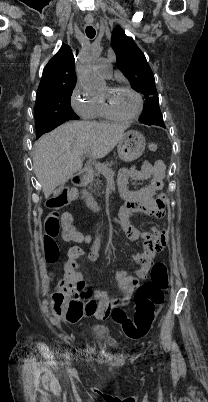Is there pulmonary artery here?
<instances>
[{
	"label": "pulmonary artery",
	"mask_w": 208,
	"mask_h": 402,
	"mask_svg": "<svg viewBox=\"0 0 208 402\" xmlns=\"http://www.w3.org/2000/svg\"><path fill=\"white\" fill-rule=\"evenodd\" d=\"M98 49L97 46H93L92 48L89 49L90 53L96 51ZM108 59L105 57H100L98 59H96V61L94 62L93 65V70L95 72H97L98 74H100L102 77H109L110 73H109V69H108Z\"/></svg>",
	"instance_id": "1"
}]
</instances>
